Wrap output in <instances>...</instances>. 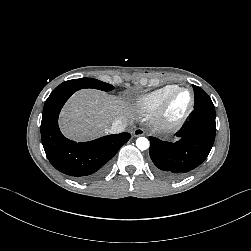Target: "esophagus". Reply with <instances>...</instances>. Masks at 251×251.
Returning a JSON list of instances; mask_svg holds the SVG:
<instances>
[{
	"instance_id": "1",
	"label": "esophagus",
	"mask_w": 251,
	"mask_h": 251,
	"mask_svg": "<svg viewBox=\"0 0 251 251\" xmlns=\"http://www.w3.org/2000/svg\"><path fill=\"white\" fill-rule=\"evenodd\" d=\"M144 134H145V131L143 128H135L133 130V136L135 137L143 136Z\"/></svg>"
}]
</instances>
